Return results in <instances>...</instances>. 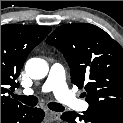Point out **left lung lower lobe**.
Returning <instances> with one entry per match:
<instances>
[{"mask_svg":"<svg viewBox=\"0 0 123 123\" xmlns=\"http://www.w3.org/2000/svg\"><path fill=\"white\" fill-rule=\"evenodd\" d=\"M61 118L69 123H123V113L116 110H106L89 106L82 114L69 111Z\"/></svg>","mask_w":123,"mask_h":123,"instance_id":"1","label":"left lung lower lobe"}]
</instances>
